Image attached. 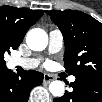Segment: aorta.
<instances>
[{
  "mask_svg": "<svg viewBox=\"0 0 102 102\" xmlns=\"http://www.w3.org/2000/svg\"><path fill=\"white\" fill-rule=\"evenodd\" d=\"M26 43L31 50L42 51L48 45V35L40 28L31 29L26 36ZM50 93L55 97L64 95V84L59 80L52 81L49 85Z\"/></svg>",
  "mask_w": 102,
  "mask_h": 102,
  "instance_id": "obj_1",
  "label": "aorta"
}]
</instances>
